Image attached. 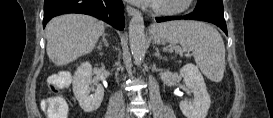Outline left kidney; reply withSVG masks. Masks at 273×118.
<instances>
[{"mask_svg":"<svg viewBox=\"0 0 273 118\" xmlns=\"http://www.w3.org/2000/svg\"><path fill=\"white\" fill-rule=\"evenodd\" d=\"M180 76L194 94L193 102H180L182 113L187 118H206L211 100L202 74L194 64H186L180 69Z\"/></svg>","mask_w":273,"mask_h":118,"instance_id":"left-kidney-1","label":"left kidney"}]
</instances>
